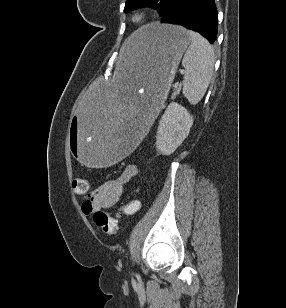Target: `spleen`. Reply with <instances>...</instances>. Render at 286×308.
I'll return each instance as SVG.
<instances>
[{
	"label": "spleen",
	"instance_id": "obj_1",
	"mask_svg": "<svg viewBox=\"0 0 286 308\" xmlns=\"http://www.w3.org/2000/svg\"><path fill=\"white\" fill-rule=\"evenodd\" d=\"M191 44L182 65L185 68L183 95L190 104L196 105L204 96L210 83L215 56L210 43L199 33L188 31Z\"/></svg>",
	"mask_w": 286,
	"mask_h": 308
}]
</instances>
